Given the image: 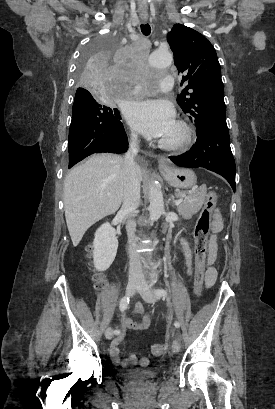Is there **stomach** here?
Listing matches in <instances>:
<instances>
[{"label":"stomach","instance_id":"1","mask_svg":"<svg viewBox=\"0 0 275 409\" xmlns=\"http://www.w3.org/2000/svg\"><path fill=\"white\" fill-rule=\"evenodd\" d=\"M164 178L176 188H191L196 184V174L190 168H176V166H161Z\"/></svg>","mask_w":275,"mask_h":409}]
</instances>
